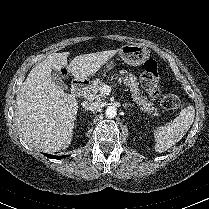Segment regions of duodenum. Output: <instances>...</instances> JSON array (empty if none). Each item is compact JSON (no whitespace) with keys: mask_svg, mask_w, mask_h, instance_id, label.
Instances as JSON below:
<instances>
[{"mask_svg":"<svg viewBox=\"0 0 209 209\" xmlns=\"http://www.w3.org/2000/svg\"><path fill=\"white\" fill-rule=\"evenodd\" d=\"M86 83L84 81L81 80H76L73 82L72 85V92L74 95H81L84 91V89L86 88Z\"/></svg>","mask_w":209,"mask_h":209,"instance_id":"duodenum-1","label":"duodenum"}]
</instances>
